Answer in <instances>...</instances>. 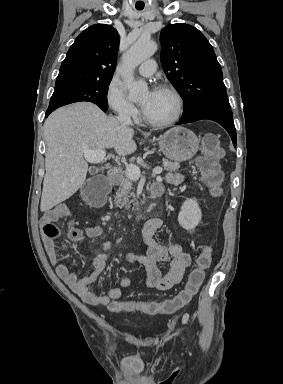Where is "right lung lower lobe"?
Returning <instances> with one entry per match:
<instances>
[{"mask_svg":"<svg viewBox=\"0 0 283 384\" xmlns=\"http://www.w3.org/2000/svg\"><path fill=\"white\" fill-rule=\"evenodd\" d=\"M55 109H49L48 108V110L46 111V113H45V117H48V115L51 113V112H53ZM103 111H106L107 109H102Z\"/></svg>","mask_w":283,"mask_h":384,"instance_id":"98d812e1","label":"right lung lower lobe"}]
</instances>
